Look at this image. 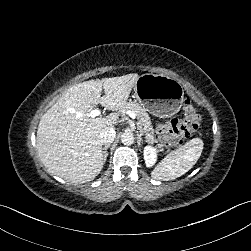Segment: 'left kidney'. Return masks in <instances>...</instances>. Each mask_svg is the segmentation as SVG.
I'll return each instance as SVG.
<instances>
[{"label":"left kidney","instance_id":"1","mask_svg":"<svg viewBox=\"0 0 251 251\" xmlns=\"http://www.w3.org/2000/svg\"><path fill=\"white\" fill-rule=\"evenodd\" d=\"M163 148L155 145H146L143 148V157L145 160V164L148 168H152L158 162L160 153L162 152Z\"/></svg>","mask_w":251,"mask_h":251}]
</instances>
